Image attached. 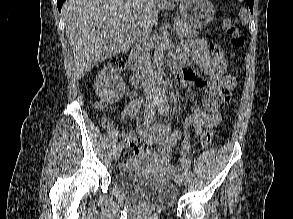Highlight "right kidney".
Wrapping results in <instances>:
<instances>
[{"label":"right kidney","instance_id":"obj_1","mask_svg":"<svg viewBox=\"0 0 293 219\" xmlns=\"http://www.w3.org/2000/svg\"><path fill=\"white\" fill-rule=\"evenodd\" d=\"M95 90L97 96L104 102L111 103L125 90L122 77L117 73L115 67L103 69L96 77Z\"/></svg>","mask_w":293,"mask_h":219}]
</instances>
